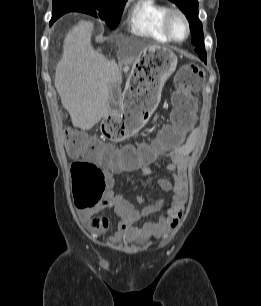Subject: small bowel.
I'll return each instance as SVG.
<instances>
[{
  "instance_id": "1",
  "label": "small bowel",
  "mask_w": 261,
  "mask_h": 306,
  "mask_svg": "<svg viewBox=\"0 0 261 306\" xmlns=\"http://www.w3.org/2000/svg\"><path fill=\"white\" fill-rule=\"evenodd\" d=\"M197 140L198 132L195 130L183 145L162 153L169 160L167 169L172 173V180L167 178L158 180L159 187L171 195V205L164 216L151 219L146 221L142 226L136 227L135 223L160 212L165 206V201L159 200L142 209H138L123 195L113 191L115 173L140 171L144 175L149 176L152 174V169L149 166L152 160H150L147 162H138L133 165L109 164L105 173L106 191L104 197L92 209L78 212L79 220L93 234L105 231L110 225V219L108 217H99L96 214L105 208H113L119 216L120 221L117 230L108 239L111 244L142 242L151 237H161L171 233L178 226L183 215L187 190L186 166L188 155L195 147ZM109 149V147L105 148L107 152L105 157L111 160L114 152ZM139 202H143V198H139Z\"/></svg>"
}]
</instances>
